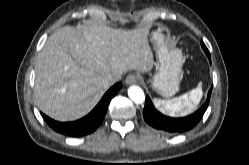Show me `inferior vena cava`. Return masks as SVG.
<instances>
[{"label":"inferior vena cava","instance_id":"obj_1","mask_svg":"<svg viewBox=\"0 0 249 165\" xmlns=\"http://www.w3.org/2000/svg\"><path fill=\"white\" fill-rule=\"evenodd\" d=\"M119 80L118 77H114L112 75H109V76H106L104 79H103V84L105 87H110L112 86L114 83H116L117 81Z\"/></svg>","mask_w":249,"mask_h":165}]
</instances>
